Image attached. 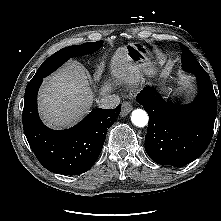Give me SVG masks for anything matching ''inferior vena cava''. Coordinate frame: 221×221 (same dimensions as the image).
Returning a JSON list of instances; mask_svg holds the SVG:
<instances>
[{
  "instance_id": "inferior-vena-cava-1",
  "label": "inferior vena cava",
  "mask_w": 221,
  "mask_h": 221,
  "mask_svg": "<svg viewBox=\"0 0 221 221\" xmlns=\"http://www.w3.org/2000/svg\"><path fill=\"white\" fill-rule=\"evenodd\" d=\"M120 104V97L113 95H104L99 101L98 105L102 108L113 109Z\"/></svg>"
}]
</instances>
